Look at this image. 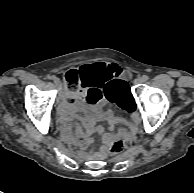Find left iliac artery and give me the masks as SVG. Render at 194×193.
<instances>
[{"mask_svg":"<svg viewBox=\"0 0 194 193\" xmlns=\"http://www.w3.org/2000/svg\"><path fill=\"white\" fill-rule=\"evenodd\" d=\"M143 82L147 81L149 79V77L147 75H143L142 76Z\"/></svg>","mask_w":194,"mask_h":193,"instance_id":"left-iliac-artery-1","label":"left iliac artery"}]
</instances>
